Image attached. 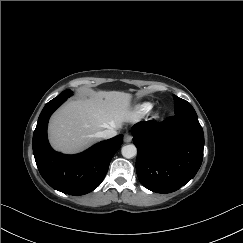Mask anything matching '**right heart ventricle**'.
Returning <instances> with one entry per match:
<instances>
[{
	"instance_id": "obj_1",
	"label": "right heart ventricle",
	"mask_w": 243,
	"mask_h": 243,
	"mask_svg": "<svg viewBox=\"0 0 243 243\" xmlns=\"http://www.w3.org/2000/svg\"><path fill=\"white\" fill-rule=\"evenodd\" d=\"M152 108V103L150 102H143L141 104L138 105L137 107V112L139 114H146L148 113Z\"/></svg>"
}]
</instances>
